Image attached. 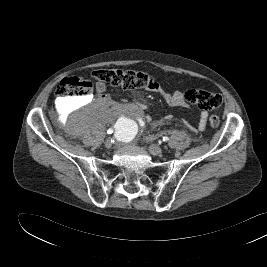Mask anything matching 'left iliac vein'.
Here are the masks:
<instances>
[{
    "mask_svg": "<svg viewBox=\"0 0 267 267\" xmlns=\"http://www.w3.org/2000/svg\"><path fill=\"white\" fill-rule=\"evenodd\" d=\"M149 151H150V153L152 155H155V156L161 155L162 152H163L162 148L159 145H156V144H151L149 146Z\"/></svg>",
    "mask_w": 267,
    "mask_h": 267,
    "instance_id": "1",
    "label": "left iliac vein"
}]
</instances>
